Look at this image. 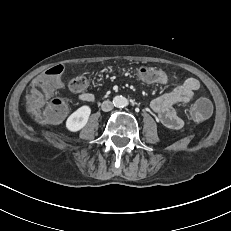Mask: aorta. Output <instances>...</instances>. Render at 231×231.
<instances>
[{"label":"aorta","instance_id":"obj_1","mask_svg":"<svg viewBox=\"0 0 231 231\" xmlns=\"http://www.w3.org/2000/svg\"><path fill=\"white\" fill-rule=\"evenodd\" d=\"M126 101H127L126 98L123 97V96H115L113 98V104L116 107H123V106H125L126 105Z\"/></svg>","mask_w":231,"mask_h":231}]
</instances>
